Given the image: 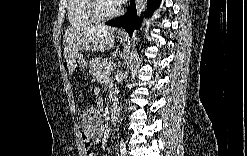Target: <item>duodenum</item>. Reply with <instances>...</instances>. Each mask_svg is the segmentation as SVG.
Masks as SVG:
<instances>
[{
    "label": "duodenum",
    "instance_id": "obj_1",
    "mask_svg": "<svg viewBox=\"0 0 247 156\" xmlns=\"http://www.w3.org/2000/svg\"><path fill=\"white\" fill-rule=\"evenodd\" d=\"M109 117L111 121H116L118 117V109L116 106L112 105L109 112Z\"/></svg>",
    "mask_w": 247,
    "mask_h": 156
}]
</instances>
